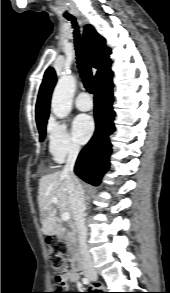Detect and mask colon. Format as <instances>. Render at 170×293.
Instances as JSON below:
<instances>
[{
    "instance_id": "colon-1",
    "label": "colon",
    "mask_w": 170,
    "mask_h": 293,
    "mask_svg": "<svg viewBox=\"0 0 170 293\" xmlns=\"http://www.w3.org/2000/svg\"><path fill=\"white\" fill-rule=\"evenodd\" d=\"M48 244L51 247L49 253V262L52 266L53 271L55 272V292L52 293H66L63 292V289L67 284V277L65 275V270L67 267L66 260V246L59 239L55 237H50L47 239ZM90 293V292H88Z\"/></svg>"
}]
</instances>
